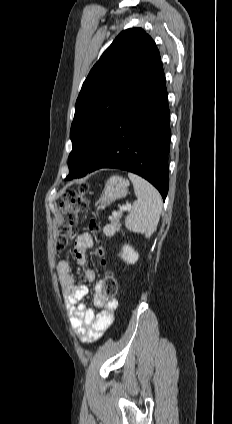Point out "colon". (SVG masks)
<instances>
[{
  "label": "colon",
  "instance_id": "5ec220e1",
  "mask_svg": "<svg viewBox=\"0 0 232 424\" xmlns=\"http://www.w3.org/2000/svg\"><path fill=\"white\" fill-rule=\"evenodd\" d=\"M87 187L83 186L79 189L68 188L63 193L62 201L59 207V217L57 222V251L60 252L66 245L68 238L72 235L73 230L78 222L79 215L84 212L90 201L87 197ZM98 230L95 220H91L83 230L93 235ZM104 249L97 247L96 255L101 258V264L106 266L104 259ZM118 291V282L112 271L106 270L102 280V295L104 297H114Z\"/></svg>",
  "mask_w": 232,
  "mask_h": 424
}]
</instances>
